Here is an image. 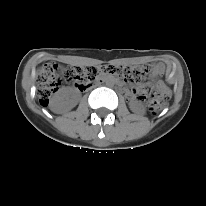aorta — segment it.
Here are the masks:
<instances>
[{
  "instance_id": "762f6f07",
  "label": "aorta",
  "mask_w": 206,
  "mask_h": 206,
  "mask_svg": "<svg viewBox=\"0 0 206 206\" xmlns=\"http://www.w3.org/2000/svg\"><path fill=\"white\" fill-rule=\"evenodd\" d=\"M106 85L107 86H113V80L112 79H107L106 80Z\"/></svg>"
}]
</instances>
